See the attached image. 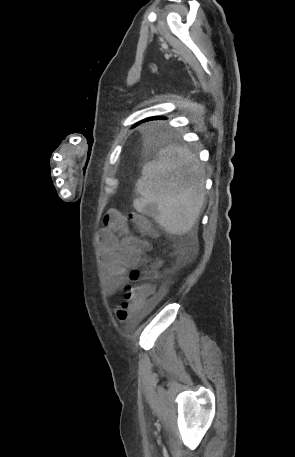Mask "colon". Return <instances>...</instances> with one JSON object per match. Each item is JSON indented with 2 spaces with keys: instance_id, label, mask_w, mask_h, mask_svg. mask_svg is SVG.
<instances>
[{
  "instance_id": "5ec220e1",
  "label": "colon",
  "mask_w": 295,
  "mask_h": 457,
  "mask_svg": "<svg viewBox=\"0 0 295 457\" xmlns=\"http://www.w3.org/2000/svg\"><path fill=\"white\" fill-rule=\"evenodd\" d=\"M130 220L138 228V230L151 237L156 235L150 220L138 213H131ZM157 263L147 268L144 271L133 269L130 272V280L133 283L139 282L142 279H153L156 277ZM152 289L148 284L139 286H129L124 293L123 301L116 308V316L120 322H134L140 316L145 307L146 300L151 295Z\"/></svg>"
}]
</instances>
